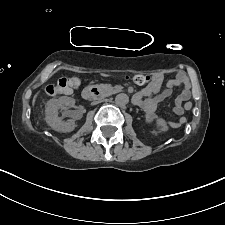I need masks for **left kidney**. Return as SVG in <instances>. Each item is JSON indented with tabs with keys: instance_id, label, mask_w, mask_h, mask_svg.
<instances>
[{
	"instance_id": "obj_1",
	"label": "left kidney",
	"mask_w": 225,
	"mask_h": 225,
	"mask_svg": "<svg viewBox=\"0 0 225 225\" xmlns=\"http://www.w3.org/2000/svg\"><path fill=\"white\" fill-rule=\"evenodd\" d=\"M156 127L159 132H166L169 130L166 121L163 118H158L156 121Z\"/></svg>"
}]
</instances>
